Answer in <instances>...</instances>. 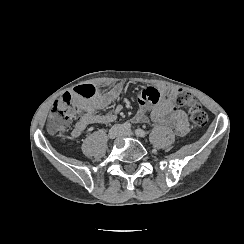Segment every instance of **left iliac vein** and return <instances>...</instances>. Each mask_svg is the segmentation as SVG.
I'll return each instance as SVG.
<instances>
[{
  "mask_svg": "<svg viewBox=\"0 0 244 244\" xmlns=\"http://www.w3.org/2000/svg\"><path fill=\"white\" fill-rule=\"evenodd\" d=\"M134 132L131 129H122L120 135L124 136V137H131L133 136Z\"/></svg>",
  "mask_w": 244,
  "mask_h": 244,
  "instance_id": "left-iliac-vein-1",
  "label": "left iliac vein"
}]
</instances>
